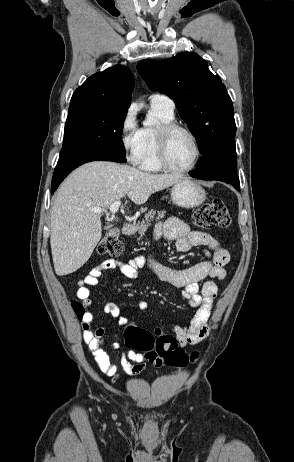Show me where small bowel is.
Returning a JSON list of instances; mask_svg holds the SVG:
<instances>
[{
    "label": "small bowel",
    "mask_w": 294,
    "mask_h": 462,
    "mask_svg": "<svg viewBox=\"0 0 294 462\" xmlns=\"http://www.w3.org/2000/svg\"><path fill=\"white\" fill-rule=\"evenodd\" d=\"M161 236L175 241L178 252H187L192 247L204 246L208 248V252L206 253L207 259L186 269L170 268L161 264L153 257L137 256L127 263L108 259L91 269L83 279L78 281L76 296L84 306V314L82 316L83 340L87 344L100 370L114 379H119L120 376L117 364L103 348L105 345V329L103 327L91 329L93 317L87 311L91 305L89 287L98 284L104 271L119 269L125 277L136 278L138 270L147 264L160 280L174 287L181 288L182 297L186 303L197 309L189 325L174 326V333L178 344L181 347L193 345L209 335L208 320L213 301L218 292L216 282L209 279L223 280L225 278V265L229 261V253L211 234L192 231L188 224L176 217L167 218L156 227L155 238L157 239ZM202 281H204L203 284H201ZM138 306L141 310L148 308V304L145 301H140ZM104 312L116 319L120 326L127 325V318L121 316L120 309L116 304L107 303L104 307ZM119 347L120 344L118 342L112 344L113 349H118ZM145 361H148V359L144 353L127 351L122 353L120 365L127 375L137 376L146 370Z\"/></svg>",
    "instance_id": "obj_1"
}]
</instances>
